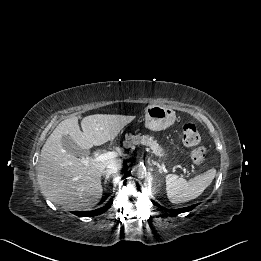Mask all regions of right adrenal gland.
<instances>
[{
	"label": "right adrenal gland",
	"mask_w": 261,
	"mask_h": 261,
	"mask_svg": "<svg viewBox=\"0 0 261 261\" xmlns=\"http://www.w3.org/2000/svg\"><path fill=\"white\" fill-rule=\"evenodd\" d=\"M110 175H111V173H108L107 171H104V173H103V177L105 178L104 184H107V181H108Z\"/></svg>",
	"instance_id": "right-adrenal-gland-1"
}]
</instances>
